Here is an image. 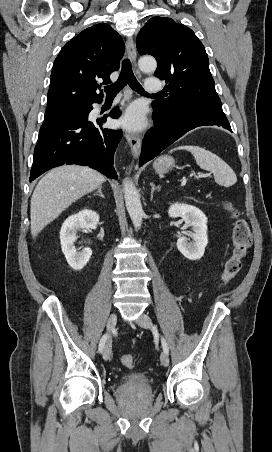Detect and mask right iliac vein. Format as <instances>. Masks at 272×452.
Returning a JSON list of instances; mask_svg holds the SVG:
<instances>
[{
    "label": "right iliac vein",
    "instance_id": "63e3f726",
    "mask_svg": "<svg viewBox=\"0 0 272 452\" xmlns=\"http://www.w3.org/2000/svg\"><path fill=\"white\" fill-rule=\"evenodd\" d=\"M117 323V315L115 313L111 314L108 321H107V331L110 334ZM111 356V339H110V335L107 337V341L106 344L104 346V350H103V358L105 361H108L110 359Z\"/></svg>",
    "mask_w": 272,
    "mask_h": 452
}]
</instances>
